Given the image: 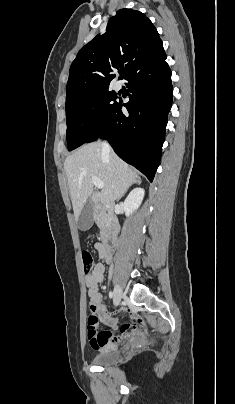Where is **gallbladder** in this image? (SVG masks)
I'll return each mask as SVG.
<instances>
[{"label":"gallbladder","instance_id":"obj_1","mask_svg":"<svg viewBox=\"0 0 235 404\" xmlns=\"http://www.w3.org/2000/svg\"><path fill=\"white\" fill-rule=\"evenodd\" d=\"M93 224V212L89 201H86L77 219V226L81 231L88 230Z\"/></svg>","mask_w":235,"mask_h":404}]
</instances>
